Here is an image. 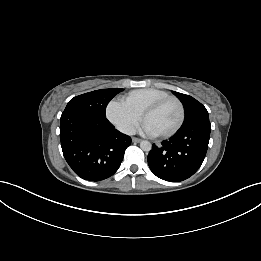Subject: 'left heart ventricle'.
<instances>
[{
    "mask_svg": "<svg viewBox=\"0 0 261 261\" xmlns=\"http://www.w3.org/2000/svg\"><path fill=\"white\" fill-rule=\"evenodd\" d=\"M180 111L178 105L169 101L146 116L144 122L149 124L157 134L171 130L178 122Z\"/></svg>",
    "mask_w": 261,
    "mask_h": 261,
    "instance_id": "obj_1",
    "label": "left heart ventricle"
}]
</instances>
